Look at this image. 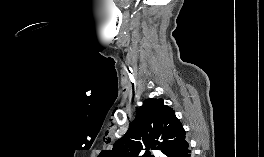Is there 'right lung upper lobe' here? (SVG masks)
I'll return each mask as SVG.
<instances>
[{
    "label": "right lung upper lobe",
    "instance_id": "1",
    "mask_svg": "<svg viewBox=\"0 0 264 157\" xmlns=\"http://www.w3.org/2000/svg\"><path fill=\"white\" fill-rule=\"evenodd\" d=\"M184 141L185 130L174 110L163 99H146L125 135L99 157H155L153 150L167 156Z\"/></svg>",
    "mask_w": 264,
    "mask_h": 157
}]
</instances>
